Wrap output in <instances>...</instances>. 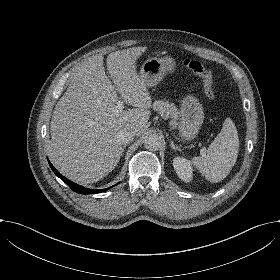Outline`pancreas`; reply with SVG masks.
<instances>
[{
	"label": "pancreas",
	"instance_id": "pancreas-1",
	"mask_svg": "<svg viewBox=\"0 0 280 280\" xmlns=\"http://www.w3.org/2000/svg\"><path fill=\"white\" fill-rule=\"evenodd\" d=\"M152 109L156 111L162 118L171 117L170 125L173 129L180 127V110L167 98H160L153 102Z\"/></svg>",
	"mask_w": 280,
	"mask_h": 280
}]
</instances>
